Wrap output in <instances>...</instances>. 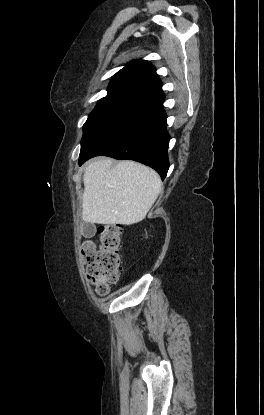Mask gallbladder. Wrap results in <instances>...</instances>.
<instances>
[{
	"label": "gallbladder",
	"instance_id": "obj_1",
	"mask_svg": "<svg viewBox=\"0 0 264 415\" xmlns=\"http://www.w3.org/2000/svg\"><path fill=\"white\" fill-rule=\"evenodd\" d=\"M93 226L91 224L85 223L83 234L85 237H91L93 235Z\"/></svg>",
	"mask_w": 264,
	"mask_h": 415
}]
</instances>
